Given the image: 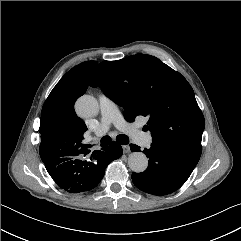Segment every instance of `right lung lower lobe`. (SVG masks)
<instances>
[{"label":"right lung lower lobe","instance_id":"obj_1","mask_svg":"<svg viewBox=\"0 0 241 241\" xmlns=\"http://www.w3.org/2000/svg\"><path fill=\"white\" fill-rule=\"evenodd\" d=\"M88 149L69 153L65 156L41 154L45 167L56 184L70 193H80L95 188L102 180L107 165L121 157L122 147L112 142L110 146L89 154Z\"/></svg>","mask_w":241,"mask_h":241}]
</instances>
